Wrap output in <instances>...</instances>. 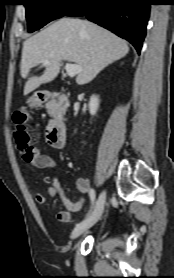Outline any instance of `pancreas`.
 <instances>
[{
	"mask_svg": "<svg viewBox=\"0 0 174 278\" xmlns=\"http://www.w3.org/2000/svg\"><path fill=\"white\" fill-rule=\"evenodd\" d=\"M50 108H51V112H50L51 116H58V115L62 116L67 109V102H63L61 100L59 103L52 105Z\"/></svg>",
	"mask_w": 174,
	"mask_h": 278,
	"instance_id": "obj_1",
	"label": "pancreas"
}]
</instances>
